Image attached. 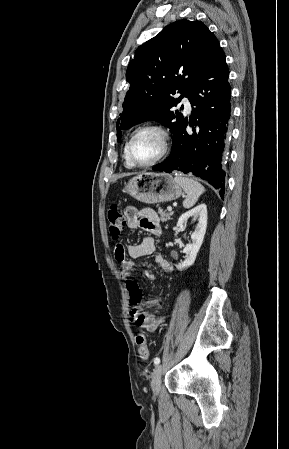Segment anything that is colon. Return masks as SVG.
Returning <instances> with one entry per match:
<instances>
[{"label":"colon","instance_id":"5ec220e1","mask_svg":"<svg viewBox=\"0 0 289 449\" xmlns=\"http://www.w3.org/2000/svg\"><path fill=\"white\" fill-rule=\"evenodd\" d=\"M107 216L110 235L112 238L117 239L120 237L125 228L124 215L122 214L120 208L116 204H113L110 206ZM128 288L131 295V304L133 307H136L141 298V292L133 281L128 282ZM135 341L140 358L147 360L149 358V348L145 333L143 331H139L136 334Z\"/></svg>","mask_w":289,"mask_h":449}]
</instances>
